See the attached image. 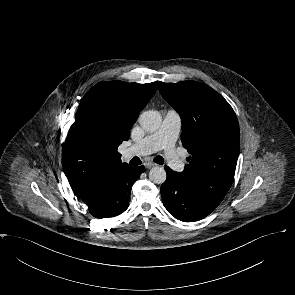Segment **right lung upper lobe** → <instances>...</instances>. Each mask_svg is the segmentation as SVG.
<instances>
[{
	"label": "right lung upper lobe",
	"mask_w": 295,
	"mask_h": 295,
	"mask_svg": "<svg viewBox=\"0 0 295 295\" xmlns=\"http://www.w3.org/2000/svg\"><path fill=\"white\" fill-rule=\"evenodd\" d=\"M108 83L114 88L117 104L124 112L123 120L115 126L91 129L83 124L77 111L76 121L72 124L64 144V173L78 196L100 175L128 165L122 163L117 148L124 140L129 139L130 129L139 113L154 96L159 82Z\"/></svg>",
	"instance_id": "1"
}]
</instances>
